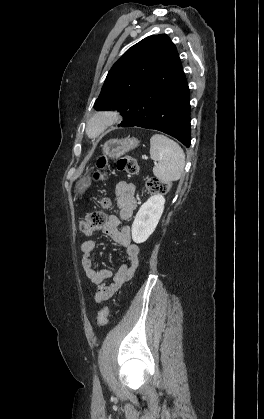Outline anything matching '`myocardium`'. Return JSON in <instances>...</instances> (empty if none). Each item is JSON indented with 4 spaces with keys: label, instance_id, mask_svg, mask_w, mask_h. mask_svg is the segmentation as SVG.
I'll return each instance as SVG.
<instances>
[{
    "label": "myocardium",
    "instance_id": "1",
    "mask_svg": "<svg viewBox=\"0 0 264 419\" xmlns=\"http://www.w3.org/2000/svg\"><path fill=\"white\" fill-rule=\"evenodd\" d=\"M121 114L117 110L106 109L95 112L86 124V134L91 139L102 136L110 127L119 123Z\"/></svg>",
    "mask_w": 264,
    "mask_h": 419
}]
</instances>
